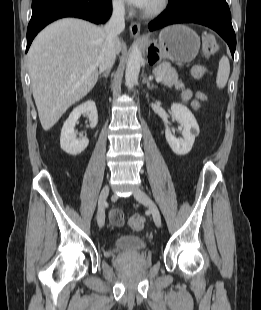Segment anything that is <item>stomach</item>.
Listing matches in <instances>:
<instances>
[{
  "label": "stomach",
  "instance_id": "stomach-1",
  "mask_svg": "<svg viewBox=\"0 0 261 310\" xmlns=\"http://www.w3.org/2000/svg\"><path fill=\"white\" fill-rule=\"evenodd\" d=\"M148 58L152 64H163L165 59L179 62H191L200 49V38L195 31L181 24L164 28L158 41L146 44Z\"/></svg>",
  "mask_w": 261,
  "mask_h": 310
}]
</instances>
